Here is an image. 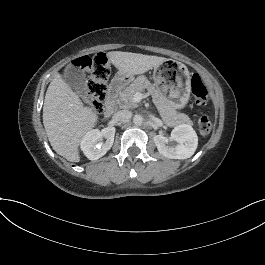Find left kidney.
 <instances>
[{"instance_id":"5707ae66","label":"left kidney","mask_w":265,"mask_h":265,"mask_svg":"<svg viewBox=\"0 0 265 265\" xmlns=\"http://www.w3.org/2000/svg\"><path fill=\"white\" fill-rule=\"evenodd\" d=\"M158 152L169 159L185 160L190 158L197 147V135L188 124L174 128L168 139L163 135L153 137Z\"/></svg>"}]
</instances>
